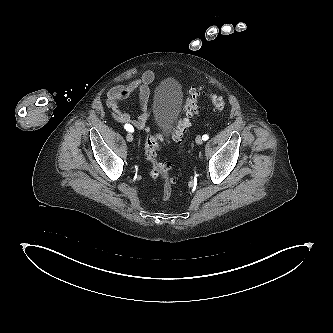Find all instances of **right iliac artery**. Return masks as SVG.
Here are the masks:
<instances>
[{"instance_id": "1", "label": "right iliac artery", "mask_w": 333, "mask_h": 333, "mask_svg": "<svg viewBox=\"0 0 333 333\" xmlns=\"http://www.w3.org/2000/svg\"><path fill=\"white\" fill-rule=\"evenodd\" d=\"M124 128H125L128 132H133V131H134L133 127H132L131 125H129V124L125 125Z\"/></svg>"}]
</instances>
